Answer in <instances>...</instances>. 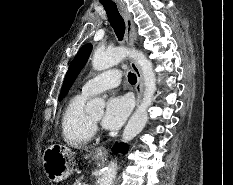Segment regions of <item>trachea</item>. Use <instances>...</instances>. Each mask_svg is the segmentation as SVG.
Wrapping results in <instances>:
<instances>
[{
  "label": "trachea",
  "instance_id": "obj_1",
  "mask_svg": "<svg viewBox=\"0 0 233 185\" xmlns=\"http://www.w3.org/2000/svg\"><path fill=\"white\" fill-rule=\"evenodd\" d=\"M103 7L107 13L110 25L113 27L116 36L118 37L119 40L123 39L124 32H125V23L118 12L117 6L114 3H102ZM128 80L131 84H135L137 81V77L134 73H129L128 74Z\"/></svg>",
  "mask_w": 233,
  "mask_h": 185
}]
</instances>
